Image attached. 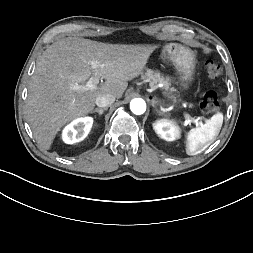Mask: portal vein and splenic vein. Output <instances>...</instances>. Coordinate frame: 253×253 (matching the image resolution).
Instances as JSON below:
<instances>
[{
  "label": "portal vein and splenic vein",
  "instance_id": "18ae733b",
  "mask_svg": "<svg viewBox=\"0 0 253 253\" xmlns=\"http://www.w3.org/2000/svg\"><path fill=\"white\" fill-rule=\"evenodd\" d=\"M90 64L93 69H96L98 67V65L94 61H91ZM98 82L99 78L97 76H92L85 85L74 84L70 88L74 91L93 90L96 88ZM185 118H186L185 120L186 125L189 124L191 121H193L196 124V126L203 125L201 121L191 118L188 114H185Z\"/></svg>",
  "mask_w": 253,
  "mask_h": 253
}]
</instances>
